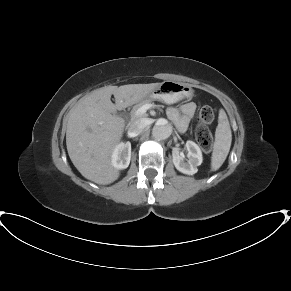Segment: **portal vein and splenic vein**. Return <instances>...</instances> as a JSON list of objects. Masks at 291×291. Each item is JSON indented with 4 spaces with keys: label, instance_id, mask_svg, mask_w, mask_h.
Masks as SVG:
<instances>
[{
    "label": "portal vein and splenic vein",
    "instance_id": "portal-vein-and-splenic-vein-1",
    "mask_svg": "<svg viewBox=\"0 0 291 291\" xmlns=\"http://www.w3.org/2000/svg\"><path fill=\"white\" fill-rule=\"evenodd\" d=\"M151 108V104H145L143 106H141L136 112H135V115L136 116H142L144 115L147 110H149Z\"/></svg>",
    "mask_w": 291,
    "mask_h": 291
}]
</instances>
